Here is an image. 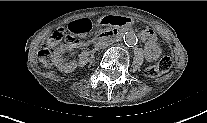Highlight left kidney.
<instances>
[{
  "instance_id": "obj_1",
  "label": "left kidney",
  "mask_w": 207,
  "mask_h": 123,
  "mask_svg": "<svg viewBox=\"0 0 207 123\" xmlns=\"http://www.w3.org/2000/svg\"><path fill=\"white\" fill-rule=\"evenodd\" d=\"M146 57L148 58V59H155V58H157L158 57V54H153V53H151V51L150 50H146Z\"/></svg>"
}]
</instances>
